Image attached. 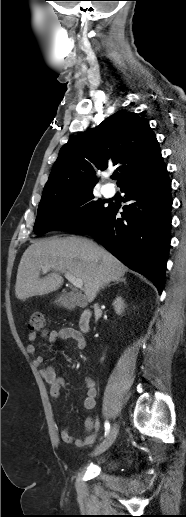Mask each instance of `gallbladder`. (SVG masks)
<instances>
[{
    "instance_id": "obj_1",
    "label": "gallbladder",
    "mask_w": 186,
    "mask_h": 517,
    "mask_svg": "<svg viewBox=\"0 0 186 517\" xmlns=\"http://www.w3.org/2000/svg\"><path fill=\"white\" fill-rule=\"evenodd\" d=\"M56 302H59L61 305H66L67 303L77 304L75 296L71 293L61 294Z\"/></svg>"
}]
</instances>
